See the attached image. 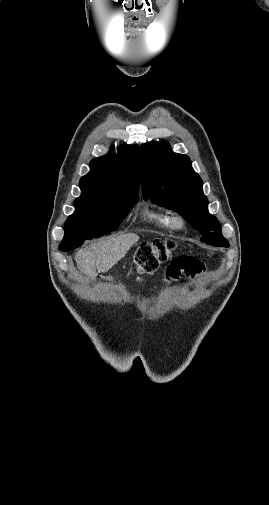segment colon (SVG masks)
Returning a JSON list of instances; mask_svg holds the SVG:
<instances>
[{"instance_id": "5ec220e1", "label": "colon", "mask_w": 269, "mask_h": 505, "mask_svg": "<svg viewBox=\"0 0 269 505\" xmlns=\"http://www.w3.org/2000/svg\"><path fill=\"white\" fill-rule=\"evenodd\" d=\"M171 258H172L171 245L166 242H156L142 245L136 252L135 263L137 270L140 273L152 274L158 269L160 264L168 261ZM175 259H194V258L188 256H181ZM181 271L182 270H180L179 272Z\"/></svg>"}]
</instances>
